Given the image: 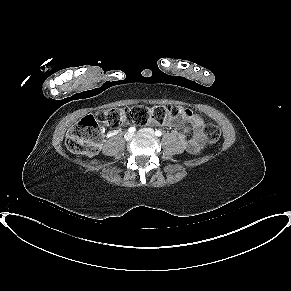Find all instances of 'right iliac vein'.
I'll use <instances>...</instances> for the list:
<instances>
[{
    "label": "right iliac vein",
    "mask_w": 291,
    "mask_h": 291,
    "mask_svg": "<svg viewBox=\"0 0 291 291\" xmlns=\"http://www.w3.org/2000/svg\"><path fill=\"white\" fill-rule=\"evenodd\" d=\"M132 137H133V133H130V132L126 133L124 136L126 141H129Z\"/></svg>",
    "instance_id": "right-iliac-vein-1"
}]
</instances>
